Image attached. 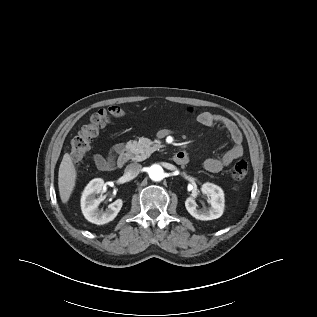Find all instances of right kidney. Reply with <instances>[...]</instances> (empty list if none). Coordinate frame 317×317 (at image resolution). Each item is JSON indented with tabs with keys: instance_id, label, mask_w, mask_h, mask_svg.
<instances>
[{
	"instance_id": "ca27d5eb",
	"label": "right kidney",
	"mask_w": 317,
	"mask_h": 317,
	"mask_svg": "<svg viewBox=\"0 0 317 317\" xmlns=\"http://www.w3.org/2000/svg\"><path fill=\"white\" fill-rule=\"evenodd\" d=\"M104 181L101 178L93 179L85 187L81 197V210L84 217L91 223L103 225L112 221L121 210L123 201L117 199L108 206L106 211L99 210L100 198H95L103 189Z\"/></svg>"
}]
</instances>
